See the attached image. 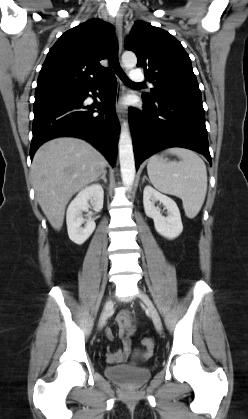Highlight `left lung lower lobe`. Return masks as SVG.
<instances>
[{
    "instance_id": "left-lung-lower-lobe-1",
    "label": "left lung lower lobe",
    "mask_w": 248,
    "mask_h": 419,
    "mask_svg": "<svg viewBox=\"0 0 248 419\" xmlns=\"http://www.w3.org/2000/svg\"><path fill=\"white\" fill-rule=\"evenodd\" d=\"M143 111L130 108L129 124L136 169L156 152L183 147L203 154L211 163L201 98L143 99Z\"/></svg>"
}]
</instances>
